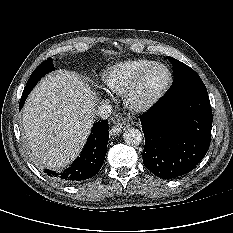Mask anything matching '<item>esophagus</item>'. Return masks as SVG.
Masks as SVG:
<instances>
[{
	"instance_id": "34e87169",
	"label": "esophagus",
	"mask_w": 233,
	"mask_h": 233,
	"mask_svg": "<svg viewBox=\"0 0 233 233\" xmlns=\"http://www.w3.org/2000/svg\"><path fill=\"white\" fill-rule=\"evenodd\" d=\"M129 127V124L125 121L123 122H118L111 130L110 133L111 135H117L121 130H125L126 128Z\"/></svg>"
}]
</instances>
